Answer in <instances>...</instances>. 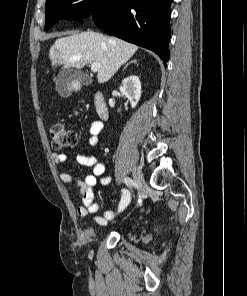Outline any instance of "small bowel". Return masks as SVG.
Masks as SVG:
<instances>
[{
    "instance_id": "1",
    "label": "small bowel",
    "mask_w": 247,
    "mask_h": 296,
    "mask_svg": "<svg viewBox=\"0 0 247 296\" xmlns=\"http://www.w3.org/2000/svg\"><path fill=\"white\" fill-rule=\"evenodd\" d=\"M103 124L100 121H94L89 128L88 142L91 146L96 147L99 145V135L102 132ZM53 160L57 164L58 171L61 180L65 184H74L77 189V195L81 198L82 203L76 207L78 215L85 217L93 214L99 210V204L94 202V187L98 183L102 187H106L111 183V177L104 175L105 166L99 161L96 156H87L79 154L76 156L78 164L86 167H90L92 172L87 174L83 178H79L77 175H73L68 171L66 162L69 157L65 154H53ZM132 195L130 190L123 189L121 192L120 200L118 202L117 210H107L102 216H95L94 222L99 225H105L109 220L113 219L117 215L123 213L131 203Z\"/></svg>"
}]
</instances>
